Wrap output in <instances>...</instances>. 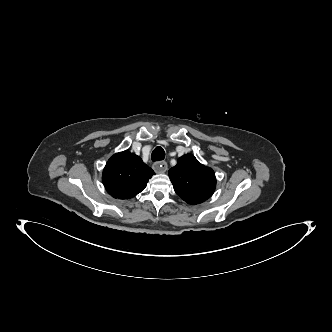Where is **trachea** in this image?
I'll list each match as a JSON object with an SVG mask.
<instances>
[{
    "label": "trachea",
    "instance_id": "obj_1",
    "mask_svg": "<svg viewBox=\"0 0 332 332\" xmlns=\"http://www.w3.org/2000/svg\"><path fill=\"white\" fill-rule=\"evenodd\" d=\"M164 157H165V151L160 146L156 147L151 154L152 161H160L163 160Z\"/></svg>",
    "mask_w": 332,
    "mask_h": 332
}]
</instances>
